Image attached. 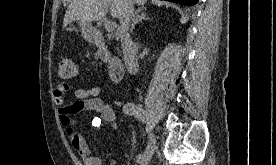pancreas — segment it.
Listing matches in <instances>:
<instances>
[{
	"label": "pancreas",
	"mask_w": 276,
	"mask_h": 165,
	"mask_svg": "<svg viewBox=\"0 0 276 165\" xmlns=\"http://www.w3.org/2000/svg\"><path fill=\"white\" fill-rule=\"evenodd\" d=\"M96 56H100V58L104 61H107L109 56H108V53L107 52H102V51H98L96 53Z\"/></svg>",
	"instance_id": "obj_1"
}]
</instances>
